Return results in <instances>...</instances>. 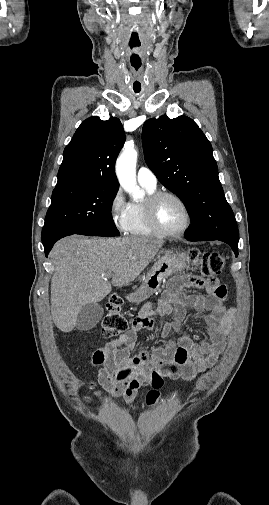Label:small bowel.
<instances>
[{"label": "small bowel", "instance_id": "c3829d8e", "mask_svg": "<svg viewBox=\"0 0 269 505\" xmlns=\"http://www.w3.org/2000/svg\"><path fill=\"white\" fill-rule=\"evenodd\" d=\"M197 274L202 279L197 276L175 278L169 285L167 297L159 298L156 302L160 315H173L175 312L174 325L156 321L151 317L152 307L145 306L139 315L132 319L128 332L93 354L92 363L100 366L99 381L112 395L123 396L127 403H131L136 391L141 386L150 384L153 372L172 379L191 381L217 362L224 349L235 311L223 304L227 296L223 284L205 280L199 271ZM183 287L202 288L206 295L183 296L180 294ZM187 307L205 313L203 322L208 339L196 342L189 335L182 334L176 343L165 348L155 349L152 353L141 351L131 355L138 331L156 330L162 336H167L185 320Z\"/></svg>", "mask_w": 269, "mask_h": 505}]
</instances>
